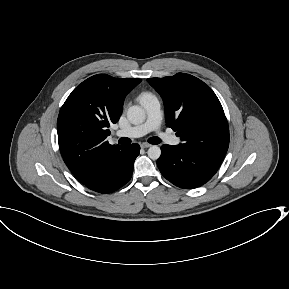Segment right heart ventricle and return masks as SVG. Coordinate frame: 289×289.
Segmentation results:
<instances>
[{
    "instance_id": "obj_1",
    "label": "right heart ventricle",
    "mask_w": 289,
    "mask_h": 289,
    "mask_svg": "<svg viewBox=\"0 0 289 289\" xmlns=\"http://www.w3.org/2000/svg\"><path fill=\"white\" fill-rule=\"evenodd\" d=\"M153 95L148 93V92H143L139 95V101L142 103L144 100H146L147 98L152 97Z\"/></svg>"
}]
</instances>
